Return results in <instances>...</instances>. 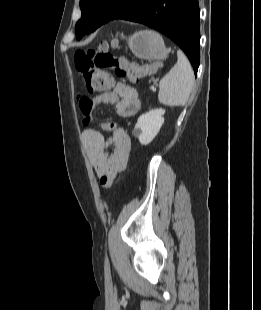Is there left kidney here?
<instances>
[{
    "label": "left kidney",
    "instance_id": "1",
    "mask_svg": "<svg viewBox=\"0 0 261 310\" xmlns=\"http://www.w3.org/2000/svg\"><path fill=\"white\" fill-rule=\"evenodd\" d=\"M165 110L162 108L152 109L142 114L134 128V134L138 137L142 145H148L160 131L164 123L163 115Z\"/></svg>",
    "mask_w": 261,
    "mask_h": 310
}]
</instances>
